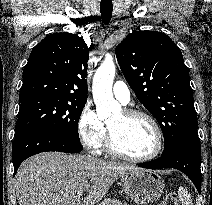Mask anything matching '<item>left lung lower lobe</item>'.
<instances>
[{"label":"left lung lower lobe","mask_w":212,"mask_h":205,"mask_svg":"<svg viewBox=\"0 0 212 205\" xmlns=\"http://www.w3.org/2000/svg\"><path fill=\"white\" fill-rule=\"evenodd\" d=\"M201 147L197 129L189 132L169 153L139 167L148 169L175 168L185 173L194 183L197 191H201Z\"/></svg>","instance_id":"left-lung-lower-lobe-1"}]
</instances>
